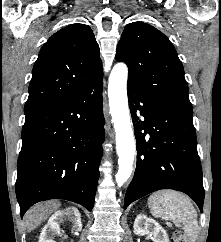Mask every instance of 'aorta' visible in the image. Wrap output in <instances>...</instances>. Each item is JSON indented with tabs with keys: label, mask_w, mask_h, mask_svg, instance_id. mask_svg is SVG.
<instances>
[{
	"label": "aorta",
	"mask_w": 221,
	"mask_h": 242,
	"mask_svg": "<svg viewBox=\"0 0 221 242\" xmlns=\"http://www.w3.org/2000/svg\"><path fill=\"white\" fill-rule=\"evenodd\" d=\"M128 68L117 63L109 76L108 97L110 113L116 132L118 172L116 183L121 187L131 176L136 151L127 98Z\"/></svg>",
	"instance_id": "obj_1"
}]
</instances>
